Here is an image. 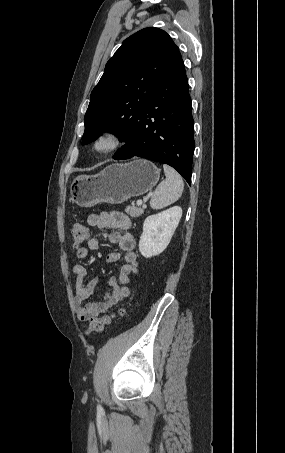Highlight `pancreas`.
<instances>
[{"instance_id": "obj_1", "label": "pancreas", "mask_w": 285, "mask_h": 453, "mask_svg": "<svg viewBox=\"0 0 285 453\" xmlns=\"http://www.w3.org/2000/svg\"><path fill=\"white\" fill-rule=\"evenodd\" d=\"M125 212L133 217V218H136V217H139L141 216L143 213H144V209L143 208H138V207H135V206H128L126 209H125Z\"/></svg>"}]
</instances>
